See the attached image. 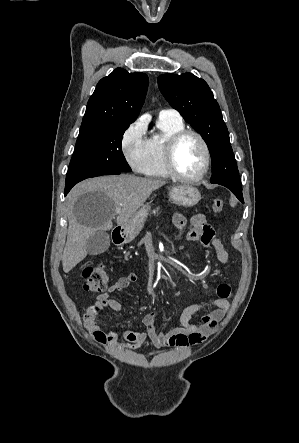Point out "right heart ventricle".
Here are the masks:
<instances>
[{"instance_id":"e07e8e85","label":"right heart ventricle","mask_w":299,"mask_h":443,"mask_svg":"<svg viewBox=\"0 0 299 443\" xmlns=\"http://www.w3.org/2000/svg\"><path fill=\"white\" fill-rule=\"evenodd\" d=\"M159 135L147 140L146 161L142 173L148 177L166 178L169 176L164 165V148L168 139L185 128L182 119L159 118Z\"/></svg>"}]
</instances>
